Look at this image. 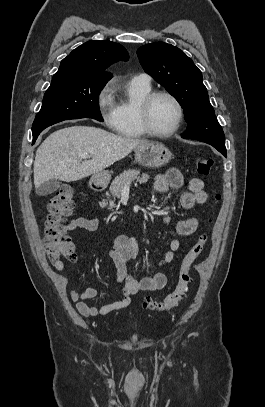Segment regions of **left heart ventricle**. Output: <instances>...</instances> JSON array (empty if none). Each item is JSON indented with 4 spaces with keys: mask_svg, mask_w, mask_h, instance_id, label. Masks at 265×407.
Returning a JSON list of instances; mask_svg holds the SVG:
<instances>
[{
    "mask_svg": "<svg viewBox=\"0 0 265 407\" xmlns=\"http://www.w3.org/2000/svg\"><path fill=\"white\" fill-rule=\"evenodd\" d=\"M178 110L174 102L166 97L156 98L150 109V123L154 130L165 132L176 123Z\"/></svg>",
    "mask_w": 265,
    "mask_h": 407,
    "instance_id": "left-heart-ventricle-1",
    "label": "left heart ventricle"
}]
</instances>
